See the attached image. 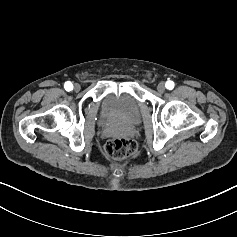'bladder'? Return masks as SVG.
Returning <instances> with one entry per match:
<instances>
[{
  "label": "bladder",
  "mask_w": 237,
  "mask_h": 237,
  "mask_svg": "<svg viewBox=\"0 0 237 237\" xmlns=\"http://www.w3.org/2000/svg\"><path fill=\"white\" fill-rule=\"evenodd\" d=\"M140 102L128 93L108 94L102 101L100 117L104 122L133 124L141 117Z\"/></svg>",
  "instance_id": "bladder-1"
}]
</instances>
